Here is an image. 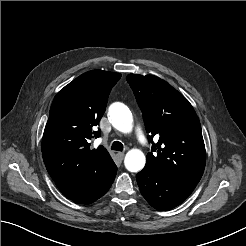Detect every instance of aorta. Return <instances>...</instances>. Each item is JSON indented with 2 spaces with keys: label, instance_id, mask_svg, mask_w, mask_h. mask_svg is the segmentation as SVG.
<instances>
[{
  "label": "aorta",
  "instance_id": "1",
  "mask_svg": "<svg viewBox=\"0 0 246 246\" xmlns=\"http://www.w3.org/2000/svg\"><path fill=\"white\" fill-rule=\"evenodd\" d=\"M109 120L113 127L123 133H128L133 128V117L129 108L123 103H113L109 107ZM146 163L144 153L139 149H131L127 152L124 164L128 171L139 172Z\"/></svg>",
  "mask_w": 246,
  "mask_h": 246
}]
</instances>
